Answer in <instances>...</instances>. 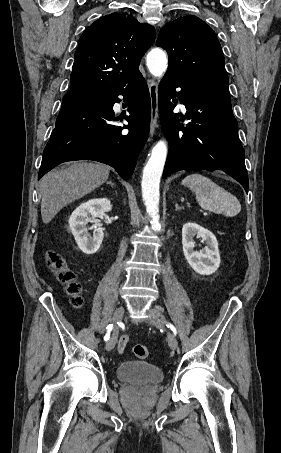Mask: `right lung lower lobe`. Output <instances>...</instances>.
Masks as SVG:
<instances>
[{"label":"right lung lower lobe","mask_w":281,"mask_h":453,"mask_svg":"<svg viewBox=\"0 0 281 453\" xmlns=\"http://www.w3.org/2000/svg\"><path fill=\"white\" fill-rule=\"evenodd\" d=\"M118 95L128 104L129 116H124L128 126L112 124L120 120L112 109L121 101ZM149 122L150 95L139 71L114 89L68 92L44 149L38 179L58 164L73 160L108 164L128 179L148 138Z\"/></svg>","instance_id":"1"}]
</instances>
